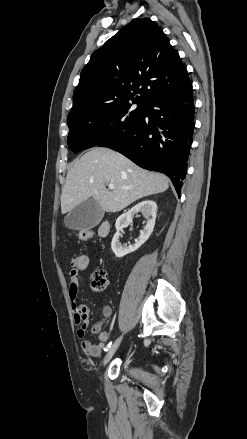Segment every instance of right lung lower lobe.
<instances>
[{"label": "right lung lower lobe", "instance_id": "right-lung-lower-lobe-1", "mask_svg": "<svg viewBox=\"0 0 247 439\" xmlns=\"http://www.w3.org/2000/svg\"><path fill=\"white\" fill-rule=\"evenodd\" d=\"M193 119V89L190 84L182 90L149 101L140 122L107 147L144 169L166 174L180 197L192 144Z\"/></svg>", "mask_w": 247, "mask_h": 439}]
</instances>
